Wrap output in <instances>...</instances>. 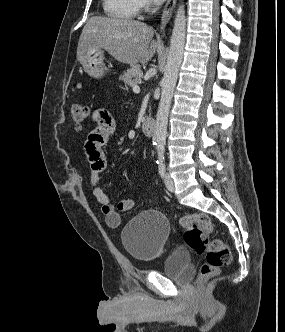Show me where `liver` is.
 <instances>
[{
  "mask_svg": "<svg viewBox=\"0 0 285 332\" xmlns=\"http://www.w3.org/2000/svg\"><path fill=\"white\" fill-rule=\"evenodd\" d=\"M153 29L132 19L93 16L85 24L77 47V60L100 48L125 64L147 63L158 47Z\"/></svg>",
  "mask_w": 285,
  "mask_h": 332,
  "instance_id": "6515ba94",
  "label": "liver"
}]
</instances>
